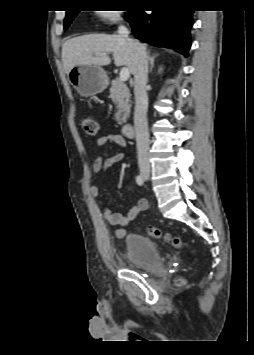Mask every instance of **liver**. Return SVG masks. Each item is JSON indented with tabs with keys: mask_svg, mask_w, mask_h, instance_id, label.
Segmentation results:
<instances>
[{
	"mask_svg": "<svg viewBox=\"0 0 254 355\" xmlns=\"http://www.w3.org/2000/svg\"><path fill=\"white\" fill-rule=\"evenodd\" d=\"M131 41L140 44L138 41ZM146 50V45L140 44ZM105 53V56L96 55ZM113 53L116 66H126L134 74L135 50L130 41L120 35L89 34L67 40L62 46V61L66 74L82 64L109 65Z\"/></svg>",
	"mask_w": 254,
	"mask_h": 355,
	"instance_id": "obj_1",
	"label": "liver"
}]
</instances>
